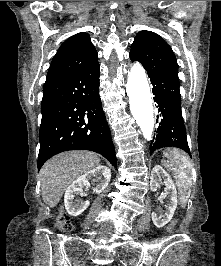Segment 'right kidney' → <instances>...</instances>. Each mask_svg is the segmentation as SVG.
<instances>
[{
  "mask_svg": "<svg viewBox=\"0 0 221 266\" xmlns=\"http://www.w3.org/2000/svg\"><path fill=\"white\" fill-rule=\"evenodd\" d=\"M110 179L111 170L107 166L103 165H99L78 177L65 191L64 204L67 212L71 216L76 217L88 208L90 204L89 201L83 202L80 200H75V196L79 193L81 194L84 187L88 188L90 186V180L97 182L94 191L96 193H101L108 186Z\"/></svg>",
  "mask_w": 221,
  "mask_h": 266,
  "instance_id": "ca27d5eb",
  "label": "right kidney"
}]
</instances>
